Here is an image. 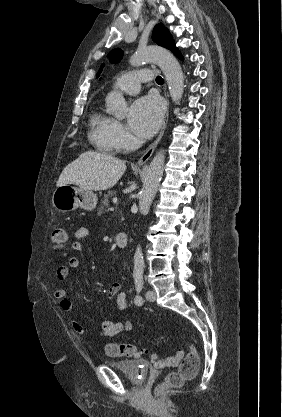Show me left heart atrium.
<instances>
[{"mask_svg": "<svg viewBox=\"0 0 282 417\" xmlns=\"http://www.w3.org/2000/svg\"><path fill=\"white\" fill-rule=\"evenodd\" d=\"M163 116L161 101L155 97H144L130 109L128 124L130 130L139 136H150L159 127Z\"/></svg>", "mask_w": 282, "mask_h": 417, "instance_id": "1", "label": "left heart atrium"}]
</instances>
